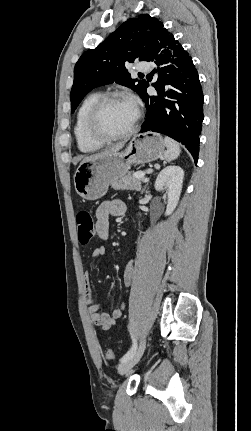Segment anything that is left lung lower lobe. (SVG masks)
I'll use <instances>...</instances> for the list:
<instances>
[{"instance_id":"0a47b994","label":"left lung lower lobe","mask_w":251,"mask_h":431,"mask_svg":"<svg viewBox=\"0 0 251 431\" xmlns=\"http://www.w3.org/2000/svg\"><path fill=\"white\" fill-rule=\"evenodd\" d=\"M157 66L153 84L157 95L141 94L147 115L141 132L165 134L185 145L198 160L203 116V93L192 58L170 34L153 48L150 60Z\"/></svg>"}]
</instances>
